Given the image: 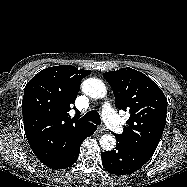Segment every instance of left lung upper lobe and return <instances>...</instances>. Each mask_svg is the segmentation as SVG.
<instances>
[{"instance_id":"5c2ea615","label":"left lung upper lobe","mask_w":187,"mask_h":187,"mask_svg":"<svg viewBox=\"0 0 187 187\" xmlns=\"http://www.w3.org/2000/svg\"><path fill=\"white\" fill-rule=\"evenodd\" d=\"M104 76L113 87L117 108L130 112L127 126L116 137L128 148L153 155L166 123L164 93L149 77L129 67Z\"/></svg>"}]
</instances>
